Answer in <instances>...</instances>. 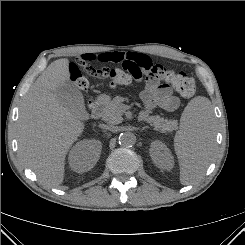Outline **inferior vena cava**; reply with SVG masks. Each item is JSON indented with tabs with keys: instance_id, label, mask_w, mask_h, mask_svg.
<instances>
[{
	"instance_id": "inferior-vena-cava-1",
	"label": "inferior vena cava",
	"mask_w": 245,
	"mask_h": 245,
	"mask_svg": "<svg viewBox=\"0 0 245 245\" xmlns=\"http://www.w3.org/2000/svg\"><path fill=\"white\" fill-rule=\"evenodd\" d=\"M104 128L109 130V131H111V132H116L117 131V127H115L113 125H105Z\"/></svg>"
}]
</instances>
